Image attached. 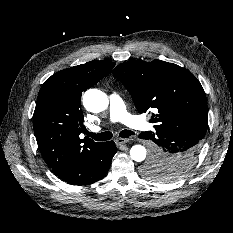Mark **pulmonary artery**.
Here are the masks:
<instances>
[{
	"label": "pulmonary artery",
	"instance_id": "obj_1",
	"mask_svg": "<svg viewBox=\"0 0 233 233\" xmlns=\"http://www.w3.org/2000/svg\"><path fill=\"white\" fill-rule=\"evenodd\" d=\"M109 100L111 122H122L123 124L138 131H148L152 129V125L150 123H148L139 116H135L127 112L125 104L118 94H111ZM90 130L92 132H98L100 130V127L94 126L91 127Z\"/></svg>",
	"mask_w": 233,
	"mask_h": 233
}]
</instances>
